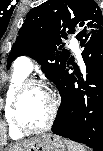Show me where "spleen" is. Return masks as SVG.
<instances>
[{"label": "spleen", "instance_id": "1", "mask_svg": "<svg viewBox=\"0 0 103 151\" xmlns=\"http://www.w3.org/2000/svg\"><path fill=\"white\" fill-rule=\"evenodd\" d=\"M65 144L67 145L68 151H86L84 146L76 142L65 140Z\"/></svg>", "mask_w": 103, "mask_h": 151}]
</instances>
